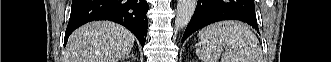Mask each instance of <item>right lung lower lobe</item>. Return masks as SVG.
<instances>
[{
	"label": "right lung lower lobe",
	"instance_id": "98d812e1",
	"mask_svg": "<svg viewBox=\"0 0 331 62\" xmlns=\"http://www.w3.org/2000/svg\"><path fill=\"white\" fill-rule=\"evenodd\" d=\"M146 0H73L64 44L79 26L94 20H110L129 29L142 44L147 36Z\"/></svg>",
	"mask_w": 331,
	"mask_h": 62
}]
</instances>
